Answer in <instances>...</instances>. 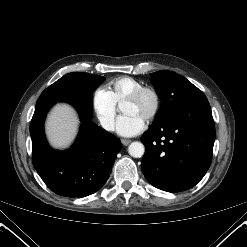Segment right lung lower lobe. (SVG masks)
Masks as SVG:
<instances>
[{"label":"right lung lower lobe","mask_w":247,"mask_h":247,"mask_svg":"<svg viewBox=\"0 0 247 247\" xmlns=\"http://www.w3.org/2000/svg\"><path fill=\"white\" fill-rule=\"evenodd\" d=\"M72 104L81 117V130L71 149L54 151L44 135V119L57 102ZM32 161L45 184L56 194L85 197L107 181L121 141L91 122V95L42 93L31 120Z\"/></svg>","instance_id":"1"}]
</instances>
